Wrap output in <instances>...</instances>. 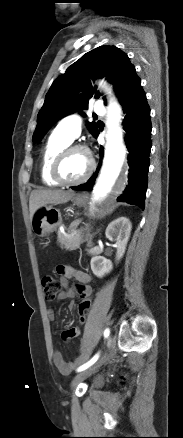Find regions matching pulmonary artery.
Masks as SVG:
<instances>
[{
	"label": "pulmonary artery",
	"instance_id": "pulmonary-artery-1",
	"mask_svg": "<svg viewBox=\"0 0 183 438\" xmlns=\"http://www.w3.org/2000/svg\"><path fill=\"white\" fill-rule=\"evenodd\" d=\"M94 112L103 114L104 108L101 101H96L93 105ZM56 130L71 140L76 139L81 131V118L77 114H71L59 121Z\"/></svg>",
	"mask_w": 183,
	"mask_h": 438
}]
</instances>
